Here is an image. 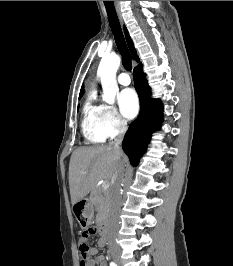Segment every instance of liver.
<instances>
[{"mask_svg": "<svg viewBox=\"0 0 233 266\" xmlns=\"http://www.w3.org/2000/svg\"><path fill=\"white\" fill-rule=\"evenodd\" d=\"M128 158L111 145L80 147L69 164V189L72 205L85 198L102 179L115 180L124 172Z\"/></svg>", "mask_w": 233, "mask_h": 266, "instance_id": "liver-1", "label": "liver"}]
</instances>
